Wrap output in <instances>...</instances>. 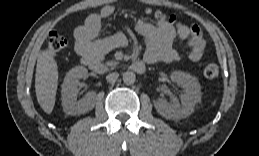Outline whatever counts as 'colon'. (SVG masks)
<instances>
[{"label": "colon", "instance_id": "1", "mask_svg": "<svg viewBox=\"0 0 259 156\" xmlns=\"http://www.w3.org/2000/svg\"><path fill=\"white\" fill-rule=\"evenodd\" d=\"M146 13L152 15L158 21H164L171 25L177 24L176 17L174 15H167L159 10L147 9ZM47 51L51 55H58L64 52L69 46V40L67 37L60 35L56 32H51L46 40ZM219 68L215 63H210L204 68V75L206 78L213 79L217 77Z\"/></svg>", "mask_w": 259, "mask_h": 156}]
</instances>
